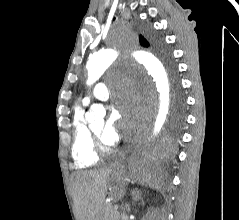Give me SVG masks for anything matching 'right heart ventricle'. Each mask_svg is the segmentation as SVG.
I'll list each match as a JSON object with an SVG mask.
<instances>
[{"instance_id":"1","label":"right heart ventricle","mask_w":239,"mask_h":220,"mask_svg":"<svg viewBox=\"0 0 239 220\" xmlns=\"http://www.w3.org/2000/svg\"><path fill=\"white\" fill-rule=\"evenodd\" d=\"M74 164L78 168L96 165L99 155L96 153L90 127L84 119V108L78 106L73 114V142L71 148Z\"/></svg>"}]
</instances>
